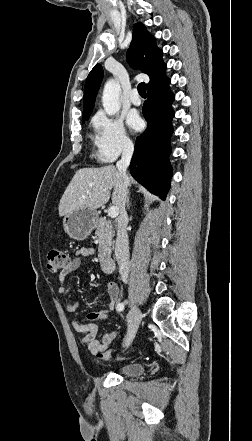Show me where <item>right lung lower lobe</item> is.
<instances>
[{
	"label": "right lung lower lobe",
	"instance_id": "right-lung-lower-lobe-1",
	"mask_svg": "<svg viewBox=\"0 0 252 441\" xmlns=\"http://www.w3.org/2000/svg\"><path fill=\"white\" fill-rule=\"evenodd\" d=\"M164 71L157 81L147 87L148 100L143 105V115L148 126L136 138L130 163L133 178L162 199L166 198L172 176L168 156L171 152L169 139L174 115L171 109L174 95L169 91L170 81Z\"/></svg>",
	"mask_w": 252,
	"mask_h": 441
}]
</instances>
